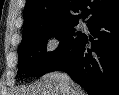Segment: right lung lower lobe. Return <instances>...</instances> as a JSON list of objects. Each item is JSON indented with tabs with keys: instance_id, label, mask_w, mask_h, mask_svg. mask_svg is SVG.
Returning a JSON list of instances; mask_svg holds the SVG:
<instances>
[{
	"instance_id": "right-lung-lower-lobe-1",
	"label": "right lung lower lobe",
	"mask_w": 119,
	"mask_h": 95,
	"mask_svg": "<svg viewBox=\"0 0 119 95\" xmlns=\"http://www.w3.org/2000/svg\"><path fill=\"white\" fill-rule=\"evenodd\" d=\"M97 40L84 35L49 71L62 70L90 95H119V12L88 25Z\"/></svg>"
}]
</instances>
